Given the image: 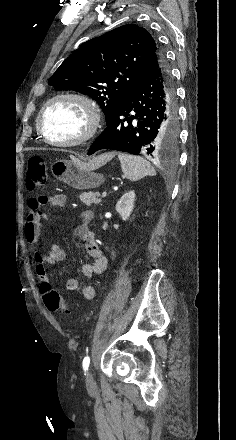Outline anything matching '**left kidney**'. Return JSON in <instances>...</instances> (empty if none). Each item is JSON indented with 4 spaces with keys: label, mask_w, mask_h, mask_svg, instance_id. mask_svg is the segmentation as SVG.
Masks as SVG:
<instances>
[{
    "label": "left kidney",
    "mask_w": 236,
    "mask_h": 440,
    "mask_svg": "<svg viewBox=\"0 0 236 440\" xmlns=\"http://www.w3.org/2000/svg\"><path fill=\"white\" fill-rule=\"evenodd\" d=\"M135 192L129 191L125 193L116 204V211L119 213L123 221H127L134 209Z\"/></svg>",
    "instance_id": "left-kidney-1"
}]
</instances>
